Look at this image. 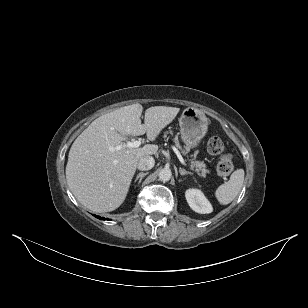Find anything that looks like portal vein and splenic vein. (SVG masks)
<instances>
[{"mask_svg": "<svg viewBox=\"0 0 308 308\" xmlns=\"http://www.w3.org/2000/svg\"><path fill=\"white\" fill-rule=\"evenodd\" d=\"M142 144V142L140 140H135V141H127L124 144H121L120 146L117 147V149H121V148H138L140 147ZM173 151L176 153L178 159L180 160V162L183 165H187L186 161L184 160V158L182 157L181 153L179 152V150L175 147L172 146Z\"/></svg>", "mask_w": 308, "mask_h": 308, "instance_id": "1", "label": "portal vein and splenic vein"}]
</instances>
